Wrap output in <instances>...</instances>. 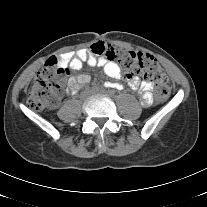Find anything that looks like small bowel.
Segmentation results:
<instances>
[{"label":"small bowel","instance_id":"1","mask_svg":"<svg viewBox=\"0 0 207 207\" xmlns=\"http://www.w3.org/2000/svg\"><path fill=\"white\" fill-rule=\"evenodd\" d=\"M97 42L95 44H101ZM61 67L67 68L70 72L80 70L84 64L89 66H100L103 69L105 75L112 79H119L124 77L122 70L117 63L108 60L103 55H97L87 49H81L77 52H66L57 57ZM127 79V78H126ZM128 83L133 90H138L141 93L140 102L143 106H150L153 102L152 88L153 85L147 82H140L137 77L128 78ZM90 76L88 74H79L71 76L66 86V93L69 95L76 94L84 85L88 84ZM106 90H112L115 92H123L125 85L116 81H106L104 83Z\"/></svg>","mask_w":207,"mask_h":207}]
</instances>
